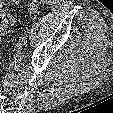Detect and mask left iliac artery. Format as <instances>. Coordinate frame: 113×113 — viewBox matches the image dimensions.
I'll return each instance as SVG.
<instances>
[{
  "label": "left iliac artery",
  "instance_id": "obj_1",
  "mask_svg": "<svg viewBox=\"0 0 113 113\" xmlns=\"http://www.w3.org/2000/svg\"><path fill=\"white\" fill-rule=\"evenodd\" d=\"M21 41H23L24 43H26L27 42V39L25 37H22L21 38Z\"/></svg>",
  "mask_w": 113,
  "mask_h": 113
}]
</instances>
